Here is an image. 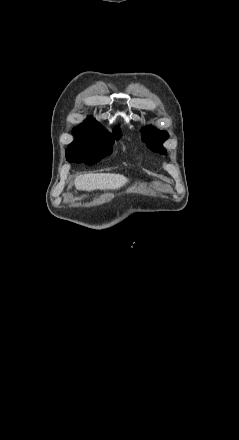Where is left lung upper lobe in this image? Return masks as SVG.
Segmentation results:
<instances>
[{
    "instance_id": "5c2ea615",
    "label": "left lung upper lobe",
    "mask_w": 239,
    "mask_h": 440,
    "mask_svg": "<svg viewBox=\"0 0 239 440\" xmlns=\"http://www.w3.org/2000/svg\"><path fill=\"white\" fill-rule=\"evenodd\" d=\"M142 139L148 143V146L155 152L165 154L166 151L162 148V143L168 138L165 131H160L153 127H145L141 130Z\"/></svg>"
}]
</instances>
